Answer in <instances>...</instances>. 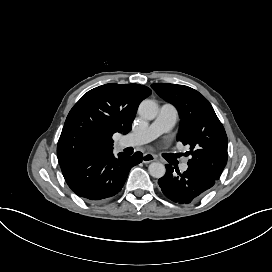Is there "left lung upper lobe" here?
Listing matches in <instances>:
<instances>
[{
	"label": "left lung upper lobe",
	"instance_id": "obj_1",
	"mask_svg": "<svg viewBox=\"0 0 272 272\" xmlns=\"http://www.w3.org/2000/svg\"><path fill=\"white\" fill-rule=\"evenodd\" d=\"M152 88L178 109L181 122L177 140L190 145L188 166L218 180L227 163V135L209 101L184 85L155 83Z\"/></svg>",
	"mask_w": 272,
	"mask_h": 272
}]
</instances>
